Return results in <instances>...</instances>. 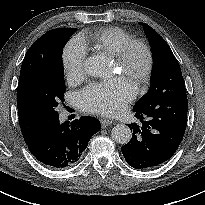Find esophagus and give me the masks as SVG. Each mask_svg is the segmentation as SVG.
<instances>
[{"label": "esophagus", "instance_id": "esophagus-1", "mask_svg": "<svg viewBox=\"0 0 205 205\" xmlns=\"http://www.w3.org/2000/svg\"><path fill=\"white\" fill-rule=\"evenodd\" d=\"M99 121H100L103 128H105L106 126L114 123L112 120H109V119H106V118H100Z\"/></svg>", "mask_w": 205, "mask_h": 205}]
</instances>
